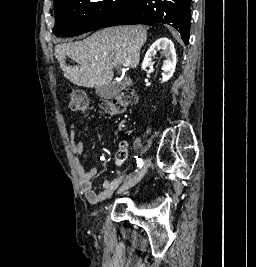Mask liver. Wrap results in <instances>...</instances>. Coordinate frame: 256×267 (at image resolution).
<instances>
[{
	"mask_svg": "<svg viewBox=\"0 0 256 267\" xmlns=\"http://www.w3.org/2000/svg\"><path fill=\"white\" fill-rule=\"evenodd\" d=\"M145 42L146 30L143 26H115L95 32L82 42L57 44L54 56L67 80L76 86L94 88L110 84L113 68L120 64L137 68ZM66 56L79 66H67Z\"/></svg>",
	"mask_w": 256,
	"mask_h": 267,
	"instance_id": "obj_1",
	"label": "liver"
}]
</instances>
